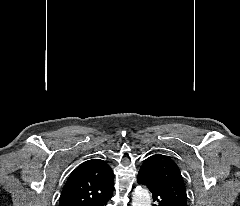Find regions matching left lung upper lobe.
<instances>
[{
	"label": "left lung upper lobe",
	"instance_id": "5c2ea615",
	"mask_svg": "<svg viewBox=\"0 0 240 206\" xmlns=\"http://www.w3.org/2000/svg\"><path fill=\"white\" fill-rule=\"evenodd\" d=\"M142 167L149 170L156 183L178 206H188L183 177L177 164L170 157L154 154L144 161Z\"/></svg>",
	"mask_w": 240,
	"mask_h": 206
}]
</instances>
